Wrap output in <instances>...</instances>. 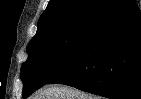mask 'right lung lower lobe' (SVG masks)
Listing matches in <instances>:
<instances>
[{
  "label": "right lung lower lobe",
  "instance_id": "98d812e1",
  "mask_svg": "<svg viewBox=\"0 0 141 99\" xmlns=\"http://www.w3.org/2000/svg\"><path fill=\"white\" fill-rule=\"evenodd\" d=\"M111 99H141V17L134 3L100 22L80 53L46 84Z\"/></svg>",
  "mask_w": 141,
  "mask_h": 99
}]
</instances>
